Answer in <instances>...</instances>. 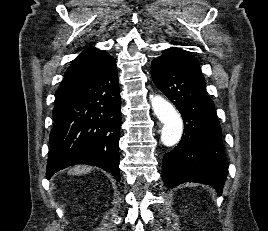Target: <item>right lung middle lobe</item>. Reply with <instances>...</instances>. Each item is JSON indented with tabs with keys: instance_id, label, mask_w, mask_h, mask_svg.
I'll list each match as a JSON object with an SVG mask.
<instances>
[{
	"instance_id": "obj_1",
	"label": "right lung middle lobe",
	"mask_w": 268,
	"mask_h": 231,
	"mask_svg": "<svg viewBox=\"0 0 268 231\" xmlns=\"http://www.w3.org/2000/svg\"><path fill=\"white\" fill-rule=\"evenodd\" d=\"M69 92L55 93V104L61 103L67 96Z\"/></svg>"
}]
</instances>
